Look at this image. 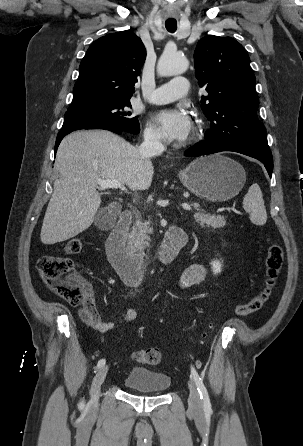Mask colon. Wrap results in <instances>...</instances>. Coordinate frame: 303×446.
I'll list each match as a JSON object with an SVG mask.
<instances>
[{
    "label": "colon",
    "instance_id": "obj_1",
    "mask_svg": "<svg viewBox=\"0 0 303 446\" xmlns=\"http://www.w3.org/2000/svg\"><path fill=\"white\" fill-rule=\"evenodd\" d=\"M82 241L79 238L69 239L64 251L67 256L45 255L38 259L37 270L51 290L61 299L72 305H81L84 294L76 273L74 263L69 256L77 255L82 251ZM283 250L277 243L268 247L265 260V278L260 292L245 304L235 308L234 314L246 316L259 311L269 300L276 285L282 264ZM207 333L203 335L205 339ZM161 352L157 348L140 349L134 353V359L142 364L157 365L161 361Z\"/></svg>",
    "mask_w": 303,
    "mask_h": 446
}]
</instances>
